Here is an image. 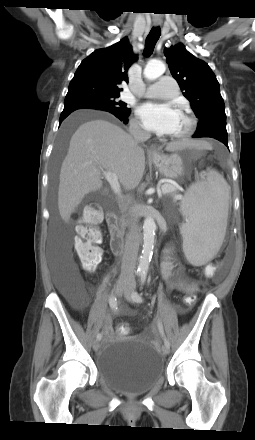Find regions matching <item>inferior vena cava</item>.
<instances>
[{"instance_id":"602c4592","label":"inferior vena cava","mask_w":255,"mask_h":440,"mask_svg":"<svg viewBox=\"0 0 255 440\" xmlns=\"http://www.w3.org/2000/svg\"><path fill=\"white\" fill-rule=\"evenodd\" d=\"M129 133L138 142L146 141L150 134L142 130L137 123L129 127ZM139 215L134 207L129 210V229L125 239L124 254L121 264L120 280L131 281L134 279L136 260L140 245V228L138 225Z\"/></svg>"}]
</instances>
